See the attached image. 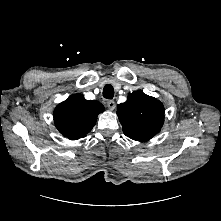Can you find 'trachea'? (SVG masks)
<instances>
[{
	"label": "trachea",
	"instance_id": "1",
	"mask_svg": "<svg viewBox=\"0 0 221 221\" xmlns=\"http://www.w3.org/2000/svg\"><path fill=\"white\" fill-rule=\"evenodd\" d=\"M103 97L106 99H112L114 97V88L112 85L107 84L104 86Z\"/></svg>",
	"mask_w": 221,
	"mask_h": 221
}]
</instances>
